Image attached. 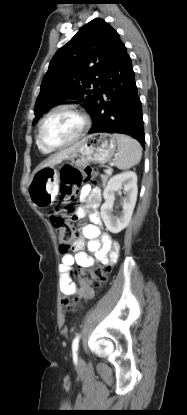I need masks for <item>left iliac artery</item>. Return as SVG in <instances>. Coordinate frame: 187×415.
Returning <instances> with one entry per match:
<instances>
[{
  "label": "left iliac artery",
  "instance_id": "obj_1",
  "mask_svg": "<svg viewBox=\"0 0 187 415\" xmlns=\"http://www.w3.org/2000/svg\"><path fill=\"white\" fill-rule=\"evenodd\" d=\"M79 339H80V334L76 335V337L74 338L73 342H72V351L73 353H77L78 351V346H79Z\"/></svg>",
  "mask_w": 187,
  "mask_h": 415
}]
</instances>
